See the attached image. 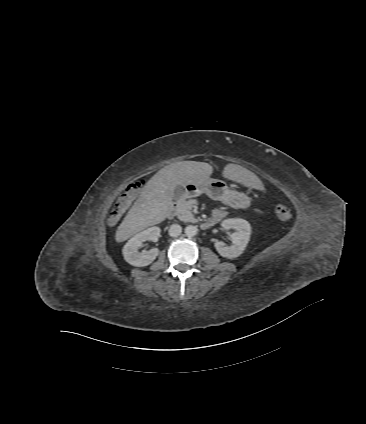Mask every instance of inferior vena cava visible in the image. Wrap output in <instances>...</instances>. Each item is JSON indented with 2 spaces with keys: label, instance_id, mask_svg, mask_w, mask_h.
<instances>
[{
  "label": "inferior vena cava",
  "instance_id": "1",
  "mask_svg": "<svg viewBox=\"0 0 366 424\" xmlns=\"http://www.w3.org/2000/svg\"><path fill=\"white\" fill-rule=\"evenodd\" d=\"M182 228L179 224H173L169 228V235L171 237H177L181 234Z\"/></svg>",
  "mask_w": 366,
  "mask_h": 424
}]
</instances>
